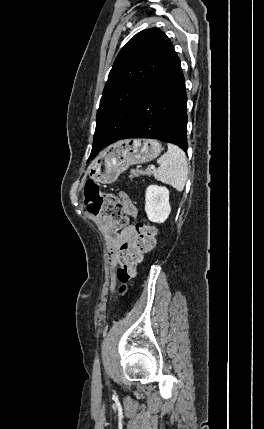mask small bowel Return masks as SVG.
<instances>
[{"mask_svg": "<svg viewBox=\"0 0 264 429\" xmlns=\"http://www.w3.org/2000/svg\"><path fill=\"white\" fill-rule=\"evenodd\" d=\"M119 198L122 204L123 211L130 217L137 215V208L132 202L131 198L125 192L119 193ZM98 224L105 232L106 246L109 253V263L112 268L117 264L118 252L123 246L132 245L137 239V230L134 226L129 225L123 230L116 232L107 228V221L105 219L96 218ZM115 282V277L112 276V283Z\"/></svg>", "mask_w": 264, "mask_h": 429, "instance_id": "1", "label": "small bowel"}]
</instances>
